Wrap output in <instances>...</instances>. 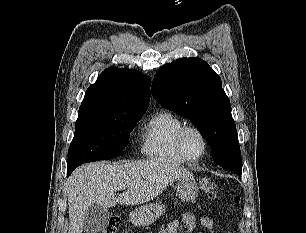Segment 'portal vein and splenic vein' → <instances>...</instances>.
<instances>
[{
    "mask_svg": "<svg viewBox=\"0 0 306 233\" xmlns=\"http://www.w3.org/2000/svg\"><path fill=\"white\" fill-rule=\"evenodd\" d=\"M125 188H126V185H120V186L118 187L119 190H124Z\"/></svg>",
    "mask_w": 306,
    "mask_h": 233,
    "instance_id": "portal-vein-and-splenic-vein-1",
    "label": "portal vein and splenic vein"
}]
</instances>
